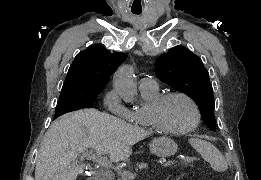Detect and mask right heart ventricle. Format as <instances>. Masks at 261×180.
<instances>
[{"label":"right heart ventricle","mask_w":261,"mask_h":180,"mask_svg":"<svg viewBox=\"0 0 261 180\" xmlns=\"http://www.w3.org/2000/svg\"><path fill=\"white\" fill-rule=\"evenodd\" d=\"M142 97L141 110L147 106H150L154 100L160 95L157 87L153 89H140ZM135 127H139L137 122L134 124Z\"/></svg>","instance_id":"obj_1"}]
</instances>
